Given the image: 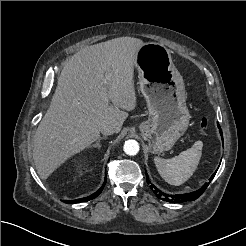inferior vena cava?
<instances>
[{
  "mask_svg": "<svg viewBox=\"0 0 246 246\" xmlns=\"http://www.w3.org/2000/svg\"><path fill=\"white\" fill-rule=\"evenodd\" d=\"M116 132V129L113 125L111 124H104L101 128V133L103 135H111Z\"/></svg>",
  "mask_w": 246,
  "mask_h": 246,
  "instance_id": "inferior-vena-cava-1",
  "label": "inferior vena cava"
}]
</instances>
